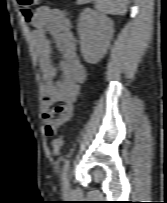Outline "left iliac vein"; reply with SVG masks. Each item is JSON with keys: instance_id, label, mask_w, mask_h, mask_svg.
Masks as SVG:
<instances>
[{"instance_id": "4c4485c4", "label": "left iliac vein", "mask_w": 167, "mask_h": 203, "mask_svg": "<svg viewBox=\"0 0 167 203\" xmlns=\"http://www.w3.org/2000/svg\"><path fill=\"white\" fill-rule=\"evenodd\" d=\"M63 193H64V194H70V193H71V187H70V179H69V176H67L66 179L64 180Z\"/></svg>"}]
</instances>
